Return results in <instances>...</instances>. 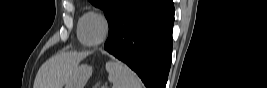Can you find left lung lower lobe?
Here are the masks:
<instances>
[{
	"mask_svg": "<svg viewBox=\"0 0 267 88\" xmlns=\"http://www.w3.org/2000/svg\"><path fill=\"white\" fill-rule=\"evenodd\" d=\"M172 0H133L109 29L105 50L147 88H165L172 56Z\"/></svg>",
	"mask_w": 267,
	"mask_h": 88,
	"instance_id": "0a47b994",
	"label": "left lung lower lobe"
}]
</instances>
